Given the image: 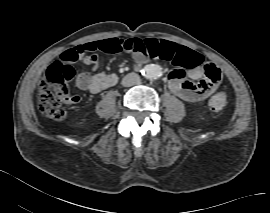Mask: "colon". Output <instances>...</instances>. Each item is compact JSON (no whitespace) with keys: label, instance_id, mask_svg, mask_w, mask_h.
<instances>
[{"label":"colon","instance_id":"5ec220e1","mask_svg":"<svg viewBox=\"0 0 270 213\" xmlns=\"http://www.w3.org/2000/svg\"><path fill=\"white\" fill-rule=\"evenodd\" d=\"M153 44L147 43L140 38L114 39L109 42L108 52L117 53L124 50L136 54L148 56ZM82 55V49L78 46L71 47L61 54V60L51 63L40 81L37 105L40 112L52 120H63L66 116L64 105L77 100V97L70 93L69 83L74 77L72 63L76 62ZM170 60V59H167ZM200 58L196 59L199 64ZM204 73L211 77L215 83L220 80L219 69L211 63L203 66ZM227 86L222 85L209 101V107L214 112L223 110L228 103Z\"/></svg>","mask_w":270,"mask_h":213}]
</instances>
